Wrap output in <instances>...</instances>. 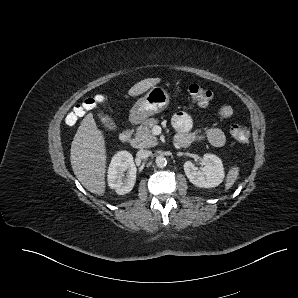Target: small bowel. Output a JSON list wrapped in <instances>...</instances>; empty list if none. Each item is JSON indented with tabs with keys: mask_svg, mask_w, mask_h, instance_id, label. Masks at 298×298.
Wrapping results in <instances>:
<instances>
[{
	"mask_svg": "<svg viewBox=\"0 0 298 298\" xmlns=\"http://www.w3.org/2000/svg\"><path fill=\"white\" fill-rule=\"evenodd\" d=\"M234 113L232 106L223 105L218 111V115L222 119L231 118ZM173 127L179 132L187 133L192 128V119L185 112H177L172 118ZM206 138L215 147H222L226 143V137L222 130L218 128H212L207 131Z\"/></svg>",
	"mask_w": 298,
	"mask_h": 298,
	"instance_id": "obj_1",
	"label": "small bowel"
}]
</instances>
